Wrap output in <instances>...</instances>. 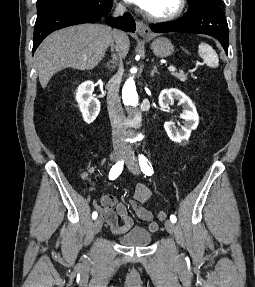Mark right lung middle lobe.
<instances>
[{
  "mask_svg": "<svg viewBox=\"0 0 255 287\" xmlns=\"http://www.w3.org/2000/svg\"><path fill=\"white\" fill-rule=\"evenodd\" d=\"M112 5L113 0H38L37 18L50 12L75 8H86L104 14Z\"/></svg>",
  "mask_w": 255,
  "mask_h": 287,
  "instance_id": "1",
  "label": "right lung middle lobe"
}]
</instances>
